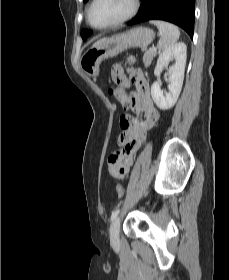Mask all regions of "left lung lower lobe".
<instances>
[{
	"mask_svg": "<svg viewBox=\"0 0 229 280\" xmlns=\"http://www.w3.org/2000/svg\"><path fill=\"white\" fill-rule=\"evenodd\" d=\"M195 0H142L138 15L128 25L148 20H164L184 29L193 38Z\"/></svg>",
	"mask_w": 229,
	"mask_h": 280,
	"instance_id": "obj_1",
	"label": "left lung lower lobe"
}]
</instances>
